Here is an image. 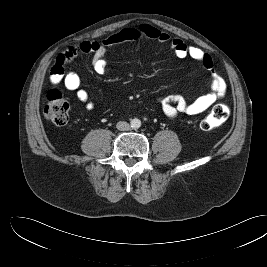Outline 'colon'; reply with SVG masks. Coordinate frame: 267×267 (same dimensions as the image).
Segmentation results:
<instances>
[{
    "label": "colon",
    "instance_id": "colon-1",
    "mask_svg": "<svg viewBox=\"0 0 267 267\" xmlns=\"http://www.w3.org/2000/svg\"><path fill=\"white\" fill-rule=\"evenodd\" d=\"M44 115L47 120L56 126H63L69 119V105L62 93L52 89L47 94ZM229 117V108L225 104L215 105L210 113L202 120L201 129L204 131L213 130L222 124Z\"/></svg>",
    "mask_w": 267,
    "mask_h": 267
}]
</instances>
